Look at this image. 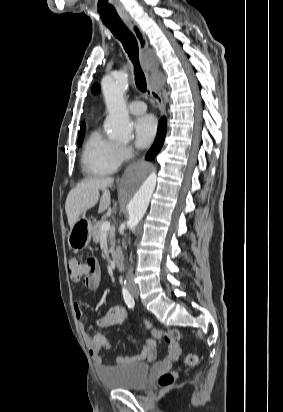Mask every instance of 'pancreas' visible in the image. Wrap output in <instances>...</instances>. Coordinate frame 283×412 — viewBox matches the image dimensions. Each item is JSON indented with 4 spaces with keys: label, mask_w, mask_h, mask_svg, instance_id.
Instances as JSON below:
<instances>
[{
    "label": "pancreas",
    "mask_w": 283,
    "mask_h": 412,
    "mask_svg": "<svg viewBox=\"0 0 283 412\" xmlns=\"http://www.w3.org/2000/svg\"><path fill=\"white\" fill-rule=\"evenodd\" d=\"M105 222V220L98 221L95 223V225L92 228V235H93V241L95 243H99L101 240V226ZM106 235L109 239L110 245H111V251H114V246H115V229L111 228L108 232H106Z\"/></svg>",
    "instance_id": "1"
}]
</instances>
